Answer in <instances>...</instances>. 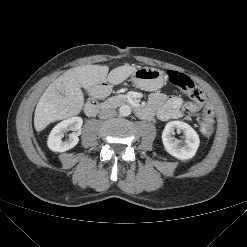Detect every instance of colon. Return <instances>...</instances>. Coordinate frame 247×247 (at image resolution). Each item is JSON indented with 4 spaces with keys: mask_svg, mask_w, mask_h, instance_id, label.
I'll return each mask as SVG.
<instances>
[{
    "mask_svg": "<svg viewBox=\"0 0 247 247\" xmlns=\"http://www.w3.org/2000/svg\"><path fill=\"white\" fill-rule=\"evenodd\" d=\"M167 77L172 85L187 93L192 99V102L184 105V114L192 115L202 107L205 103V94L189 76L174 70H169ZM200 130L206 137H210L214 132V111L209 104L203 107Z\"/></svg>",
    "mask_w": 247,
    "mask_h": 247,
    "instance_id": "colon-1",
    "label": "colon"
}]
</instances>
